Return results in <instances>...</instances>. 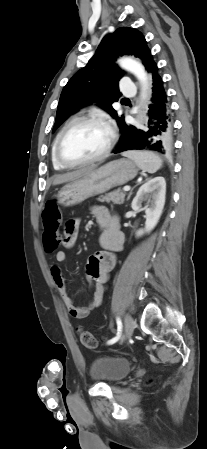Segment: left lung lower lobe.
<instances>
[{"mask_svg": "<svg viewBox=\"0 0 207 449\" xmlns=\"http://www.w3.org/2000/svg\"><path fill=\"white\" fill-rule=\"evenodd\" d=\"M152 81V98L148 122L142 129L126 125L120 127L122 135L114 153L126 150H154L167 153L172 148V115L158 67L153 62L148 69Z\"/></svg>", "mask_w": 207, "mask_h": 449, "instance_id": "0a47b994", "label": "left lung lower lobe"}]
</instances>
